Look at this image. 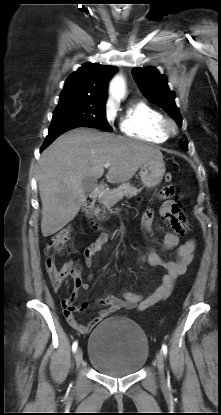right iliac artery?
I'll list each match as a JSON object with an SVG mask.
<instances>
[{
	"label": "right iliac artery",
	"instance_id": "82829eb1",
	"mask_svg": "<svg viewBox=\"0 0 221 415\" xmlns=\"http://www.w3.org/2000/svg\"><path fill=\"white\" fill-rule=\"evenodd\" d=\"M77 346H78V343H77V341H75V342L73 343V345H72V350H73V352H75V351H76Z\"/></svg>",
	"mask_w": 221,
	"mask_h": 415
}]
</instances>
